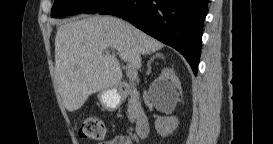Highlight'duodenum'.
Wrapping results in <instances>:
<instances>
[{"mask_svg":"<svg viewBox=\"0 0 273 144\" xmlns=\"http://www.w3.org/2000/svg\"><path fill=\"white\" fill-rule=\"evenodd\" d=\"M118 92L121 95H126L132 98V106L135 113V134L138 138L144 139L149 135L150 122L147 113L139 100L136 88L129 83H121L118 87Z\"/></svg>","mask_w":273,"mask_h":144,"instance_id":"duodenum-1","label":"duodenum"}]
</instances>
